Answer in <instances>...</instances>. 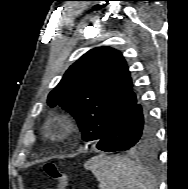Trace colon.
Returning a JSON list of instances; mask_svg holds the SVG:
<instances>
[{"mask_svg":"<svg viewBox=\"0 0 188 189\" xmlns=\"http://www.w3.org/2000/svg\"><path fill=\"white\" fill-rule=\"evenodd\" d=\"M43 171L56 183L51 189H66L68 183L67 174L60 169L57 163L45 162L43 164Z\"/></svg>","mask_w":188,"mask_h":189,"instance_id":"1","label":"colon"}]
</instances>
